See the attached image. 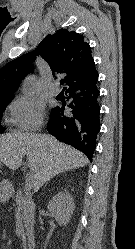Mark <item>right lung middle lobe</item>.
I'll use <instances>...</instances> for the list:
<instances>
[{"mask_svg":"<svg viewBox=\"0 0 135 249\" xmlns=\"http://www.w3.org/2000/svg\"><path fill=\"white\" fill-rule=\"evenodd\" d=\"M12 98H7L2 101H0V119L2 117V113L5 110L6 106L10 103V100ZM3 132L2 127L0 126V133Z\"/></svg>","mask_w":135,"mask_h":249,"instance_id":"obj_1","label":"right lung middle lobe"}]
</instances>
